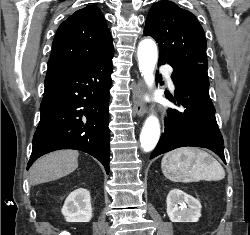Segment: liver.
Here are the masks:
<instances>
[{
    "label": "liver",
    "instance_id": "6515ba94",
    "mask_svg": "<svg viewBox=\"0 0 250 235\" xmlns=\"http://www.w3.org/2000/svg\"><path fill=\"white\" fill-rule=\"evenodd\" d=\"M79 153L60 150L39 158L30 169V182L37 185L64 177L78 167Z\"/></svg>",
    "mask_w": 250,
    "mask_h": 235
}]
</instances>
